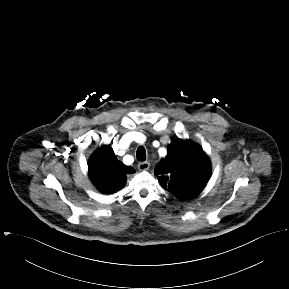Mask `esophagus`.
I'll list each match as a JSON object with an SVG mask.
<instances>
[{
	"instance_id": "34e87169",
	"label": "esophagus",
	"mask_w": 289,
	"mask_h": 289,
	"mask_svg": "<svg viewBox=\"0 0 289 289\" xmlns=\"http://www.w3.org/2000/svg\"><path fill=\"white\" fill-rule=\"evenodd\" d=\"M149 167H150V163L147 162V161H145V162H139V164H138V168H139V170H141V171L148 170Z\"/></svg>"
}]
</instances>
